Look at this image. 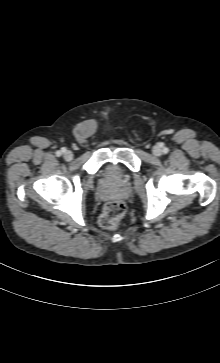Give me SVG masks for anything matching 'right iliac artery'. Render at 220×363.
Returning <instances> with one entry per match:
<instances>
[{
	"instance_id": "1",
	"label": "right iliac artery",
	"mask_w": 220,
	"mask_h": 363,
	"mask_svg": "<svg viewBox=\"0 0 220 363\" xmlns=\"http://www.w3.org/2000/svg\"><path fill=\"white\" fill-rule=\"evenodd\" d=\"M66 151V149L65 148H62V150L61 151H57L56 152V155L57 156H60L63 152H65Z\"/></svg>"
}]
</instances>
